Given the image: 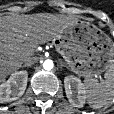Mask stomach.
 Segmentation results:
<instances>
[{
    "label": "stomach",
    "instance_id": "obj_1",
    "mask_svg": "<svg viewBox=\"0 0 114 114\" xmlns=\"http://www.w3.org/2000/svg\"><path fill=\"white\" fill-rule=\"evenodd\" d=\"M54 42L67 65L87 79L96 81L98 75L114 66V42L89 22L78 21L67 27Z\"/></svg>",
    "mask_w": 114,
    "mask_h": 114
}]
</instances>
